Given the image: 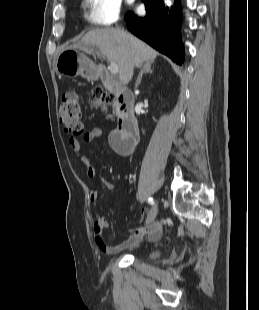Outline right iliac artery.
Returning <instances> with one entry per match:
<instances>
[{
	"label": "right iliac artery",
	"instance_id": "right-iliac-artery-1",
	"mask_svg": "<svg viewBox=\"0 0 259 310\" xmlns=\"http://www.w3.org/2000/svg\"><path fill=\"white\" fill-rule=\"evenodd\" d=\"M148 203H150L151 205H153L154 204V201H153V198H148Z\"/></svg>",
	"mask_w": 259,
	"mask_h": 310
}]
</instances>
